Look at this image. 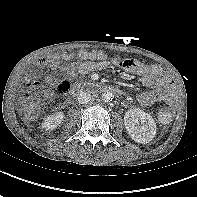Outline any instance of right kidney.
I'll return each mask as SVG.
<instances>
[{"mask_svg": "<svg viewBox=\"0 0 197 197\" xmlns=\"http://www.w3.org/2000/svg\"><path fill=\"white\" fill-rule=\"evenodd\" d=\"M63 118H64L63 112H57L55 114L49 115L42 123V127L45 130H53L61 124Z\"/></svg>", "mask_w": 197, "mask_h": 197, "instance_id": "right-kidney-1", "label": "right kidney"}]
</instances>
